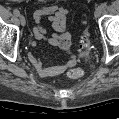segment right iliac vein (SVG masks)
Returning <instances> with one entry per match:
<instances>
[{
  "mask_svg": "<svg viewBox=\"0 0 119 119\" xmlns=\"http://www.w3.org/2000/svg\"><path fill=\"white\" fill-rule=\"evenodd\" d=\"M19 20L22 26H24L26 24V19L23 15H19Z\"/></svg>",
  "mask_w": 119,
  "mask_h": 119,
  "instance_id": "63e3f726",
  "label": "right iliac vein"
}]
</instances>
